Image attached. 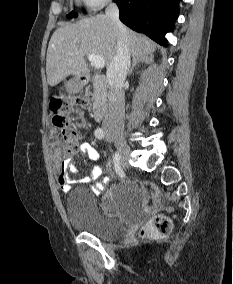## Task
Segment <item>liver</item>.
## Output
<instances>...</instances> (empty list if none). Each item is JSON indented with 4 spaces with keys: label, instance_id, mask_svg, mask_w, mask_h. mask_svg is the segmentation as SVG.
Returning <instances> with one entry per match:
<instances>
[{
    "label": "liver",
    "instance_id": "obj_1",
    "mask_svg": "<svg viewBox=\"0 0 233 284\" xmlns=\"http://www.w3.org/2000/svg\"><path fill=\"white\" fill-rule=\"evenodd\" d=\"M130 55L134 59L146 58L154 51L155 44L147 37L127 29ZM117 29L112 19L99 14L75 24L58 28L52 35L46 58L48 84L52 87L74 75H87L89 70L85 56L95 54L110 65L117 53Z\"/></svg>",
    "mask_w": 233,
    "mask_h": 284
}]
</instances>
